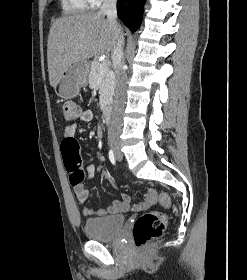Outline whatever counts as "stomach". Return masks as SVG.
Returning a JSON list of instances; mask_svg holds the SVG:
<instances>
[{
  "instance_id": "1",
  "label": "stomach",
  "mask_w": 247,
  "mask_h": 280,
  "mask_svg": "<svg viewBox=\"0 0 247 280\" xmlns=\"http://www.w3.org/2000/svg\"><path fill=\"white\" fill-rule=\"evenodd\" d=\"M89 74L88 61H78L66 69L57 85L55 91L63 99H72L76 97L81 88L86 86Z\"/></svg>"
}]
</instances>
